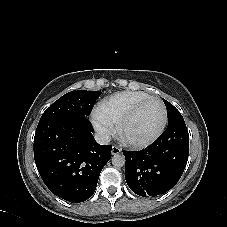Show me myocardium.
<instances>
[{"label": "myocardium", "instance_id": "myocardium-1", "mask_svg": "<svg viewBox=\"0 0 227 227\" xmlns=\"http://www.w3.org/2000/svg\"><path fill=\"white\" fill-rule=\"evenodd\" d=\"M150 101H157L161 104L162 109H163V120L161 122V125L159 128L156 130V132L148 139L143 140V141H133L125 138L123 132L125 127L127 126L128 123H130L139 110L148 102ZM168 122V111L166 104L164 103L163 100H161L158 97L150 96L138 104H136L126 115H124L121 120L117 124V135L120 138V140L127 146L132 147V148H145L153 144L164 132Z\"/></svg>", "mask_w": 227, "mask_h": 227}]
</instances>
